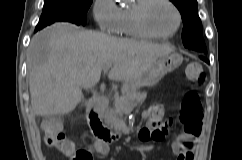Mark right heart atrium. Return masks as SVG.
Masks as SVG:
<instances>
[{"label": "right heart atrium", "instance_id": "d8ad5b80", "mask_svg": "<svg viewBox=\"0 0 242 160\" xmlns=\"http://www.w3.org/2000/svg\"><path fill=\"white\" fill-rule=\"evenodd\" d=\"M93 17L98 27L106 33H116L119 8L114 0H94Z\"/></svg>", "mask_w": 242, "mask_h": 160}]
</instances>
